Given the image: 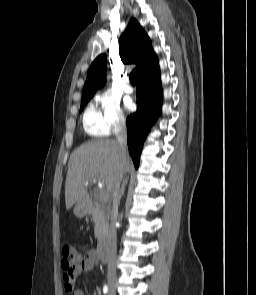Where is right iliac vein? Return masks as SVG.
I'll return each mask as SVG.
<instances>
[{"label": "right iliac vein", "mask_w": 256, "mask_h": 295, "mask_svg": "<svg viewBox=\"0 0 256 295\" xmlns=\"http://www.w3.org/2000/svg\"><path fill=\"white\" fill-rule=\"evenodd\" d=\"M107 280H108V290L110 295H116L117 280H116L115 274H109L107 277Z\"/></svg>", "instance_id": "63e3f726"}]
</instances>
